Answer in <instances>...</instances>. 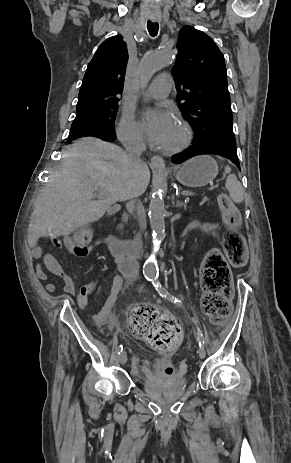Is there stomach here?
<instances>
[{
	"label": "stomach",
	"instance_id": "stomach-1",
	"mask_svg": "<svg viewBox=\"0 0 291 463\" xmlns=\"http://www.w3.org/2000/svg\"><path fill=\"white\" fill-rule=\"evenodd\" d=\"M218 174V165L210 156H196L177 171L176 179L188 187H202L211 183Z\"/></svg>",
	"mask_w": 291,
	"mask_h": 463
}]
</instances>
